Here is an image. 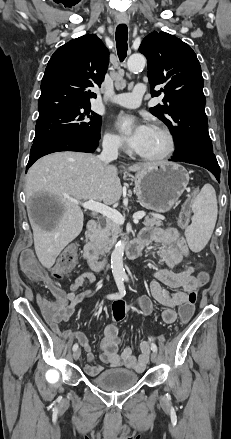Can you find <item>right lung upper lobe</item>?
<instances>
[{
  "label": "right lung upper lobe",
  "instance_id": "cb5924a9",
  "mask_svg": "<svg viewBox=\"0 0 231 439\" xmlns=\"http://www.w3.org/2000/svg\"><path fill=\"white\" fill-rule=\"evenodd\" d=\"M109 63V51L94 34H86L59 47L49 60L38 101L39 117L88 106L100 87Z\"/></svg>",
  "mask_w": 231,
  "mask_h": 439
}]
</instances>
